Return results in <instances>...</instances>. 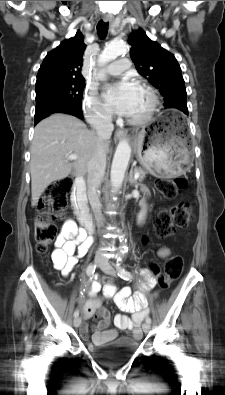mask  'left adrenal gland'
I'll use <instances>...</instances> for the list:
<instances>
[{
  "instance_id": "1",
  "label": "left adrenal gland",
  "mask_w": 225,
  "mask_h": 395,
  "mask_svg": "<svg viewBox=\"0 0 225 395\" xmlns=\"http://www.w3.org/2000/svg\"><path fill=\"white\" fill-rule=\"evenodd\" d=\"M129 181H130V184L133 186V185H135V186H137V181L134 179V177H133V168H131V170H130V178H129Z\"/></svg>"
}]
</instances>
